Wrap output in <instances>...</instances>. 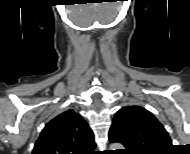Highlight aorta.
I'll return each instance as SVG.
<instances>
[{
  "instance_id": "obj_1",
  "label": "aorta",
  "mask_w": 190,
  "mask_h": 154,
  "mask_svg": "<svg viewBox=\"0 0 190 154\" xmlns=\"http://www.w3.org/2000/svg\"><path fill=\"white\" fill-rule=\"evenodd\" d=\"M116 149H123V146L119 143H114L111 145V150H116Z\"/></svg>"
}]
</instances>
